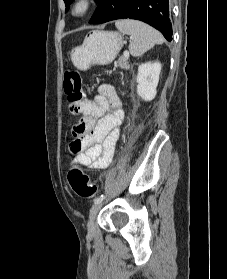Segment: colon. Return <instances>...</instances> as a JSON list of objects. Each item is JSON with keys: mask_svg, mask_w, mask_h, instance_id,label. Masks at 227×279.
I'll return each instance as SVG.
<instances>
[{"mask_svg": "<svg viewBox=\"0 0 227 279\" xmlns=\"http://www.w3.org/2000/svg\"><path fill=\"white\" fill-rule=\"evenodd\" d=\"M64 89L67 106L70 111L74 112L78 109L83 95V83L79 72L68 71L65 73ZM71 150L76 153L79 146L73 145ZM68 180L72 189L80 198L88 199L96 194V185L91 182L89 176L81 167H72L68 173Z\"/></svg>", "mask_w": 227, "mask_h": 279, "instance_id": "1", "label": "colon"}]
</instances>
